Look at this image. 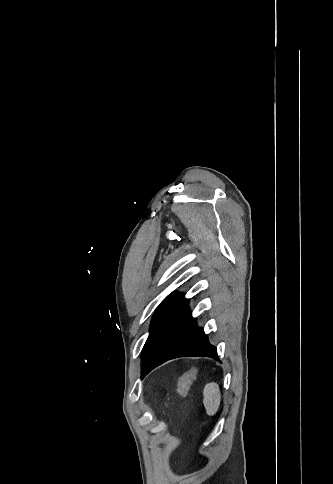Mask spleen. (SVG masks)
<instances>
[{"instance_id": "obj_1", "label": "spleen", "mask_w": 333, "mask_h": 484, "mask_svg": "<svg viewBox=\"0 0 333 484\" xmlns=\"http://www.w3.org/2000/svg\"><path fill=\"white\" fill-rule=\"evenodd\" d=\"M203 404L208 415L213 416L217 413L221 395L219 386L217 383H209L204 387L203 390Z\"/></svg>"}]
</instances>
